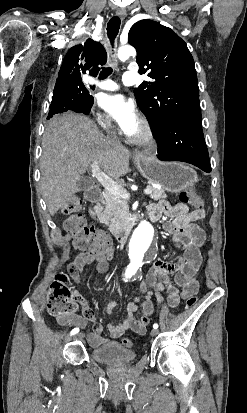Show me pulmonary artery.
I'll list each match as a JSON object with an SVG mask.
<instances>
[{"label":"pulmonary artery","instance_id":"e3ab8cb5","mask_svg":"<svg viewBox=\"0 0 247 413\" xmlns=\"http://www.w3.org/2000/svg\"><path fill=\"white\" fill-rule=\"evenodd\" d=\"M122 81L126 85H134L138 82L141 81V78L137 76L136 74L132 72H125L122 76ZM83 82L86 87H95L98 90H105V91H111V90H116L118 88V84L111 79H104V80H98L91 75L87 74Z\"/></svg>","mask_w":247,"mask_h":413}]
</instances>
